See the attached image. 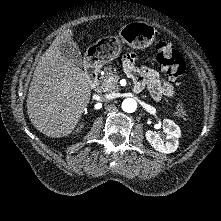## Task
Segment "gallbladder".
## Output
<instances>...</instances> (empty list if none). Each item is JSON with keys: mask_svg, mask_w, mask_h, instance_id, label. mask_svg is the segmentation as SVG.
Wrapping results in <instances>:
<instances>
[{"mask_svg": "<svg viewBox=\"0 0 221 221\" xmlns=\"http://www.w3.org/2000/svg\"><path fill=\"white\" fill-rule=\"evenodd\" d=\"M59 49L64 57H67L75 65L81 66L82 65V56L81 53L75 49L74 47L68 45V44H61L59 45Z\"/></svg>", "mask_w": 221, "mask_h": 221, "instance_id": "obj_1", "label": "gallbladder"}]
</instances>
